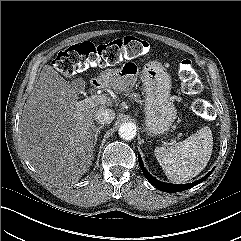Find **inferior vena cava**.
Returning <instances> with one entry per match:
<instances>
[{
	"mask_svg": "<svg viewBox=\"0 0 241 241\" xmlns=\"http://www.w3.org/2000/svg\"><path fill=\"white\" fill-rule=\"evenodd\" d=\"M115 118V111L109 108H100L94 113V119L100 124H110Z\"/></svg>",
	"mask_w": 241,
	"mask_h": 241,
	"instance_id": "602c4592",
	"label": "inferior vena cava"
}]
</instances>
